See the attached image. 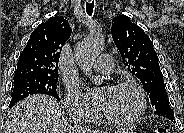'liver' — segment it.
I'll use <instances>...</instances> for the list:
<instances>
[{"mask_svg":"<svg viewBox=\"0 0 184 133\" xmlns=\"http://www.w3.org/2000/svg\"><path fill=\"white\" fill-rule=\"evenodd\" d=\"M5 133H77L63 117L53 97L32 95L17 103L9 112Z\"/></svg>","mask_w":184,"mask_h":133,"instance_id":"1","label":"liver"}]
</instances>
